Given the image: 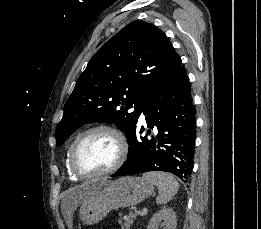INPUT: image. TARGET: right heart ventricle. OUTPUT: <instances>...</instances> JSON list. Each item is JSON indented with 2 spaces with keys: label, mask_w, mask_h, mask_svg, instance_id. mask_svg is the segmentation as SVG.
Masks as SVG:
<instances>
[{
  "label": "right heart ventricle",
  "mask_w": 261,
  "mask_h": 229,
  "mask_svg": "<svg viewBox=\"0 0 261 229\" xmlns=\"http://www.w3.org/2000/svg\"><path fill=\"white\" fill-rule=\"evenodd\" d=\"M71 145H72V144H71ZM71 145H70V147H71ZM70 147L68 148L67 154H66V167H67V169H68L69 174L72 175L73 177H76V175L71 171V169L69 168V165H68Z\"/></svg>",
  "instance_id": "e07e8e85"
}]
</instances>
